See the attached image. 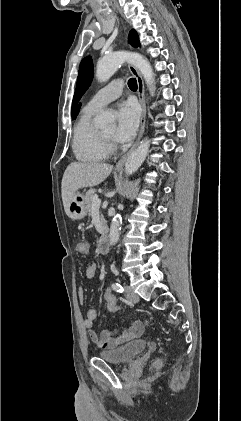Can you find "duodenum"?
<instances>
[{"label":"duodenum","mask_w":241,"mask_h":421,"mask_svg":"<svg viewBox=\"0 0 241 421\" xmlns=\"http://www.w3.org/2000/svg\"><path fill=\"white\" fill-rule=\"evenodd\" d=\"M109 250V241L107 236H103L98 243V252L101 254L107 253Z\"/></svg>","instance_id":"410a0bca"}]
</instances>
